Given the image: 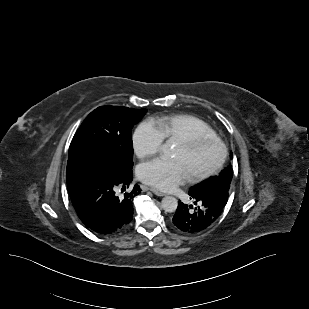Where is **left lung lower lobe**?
Segmentation results:
<instances>
[{
    "label": "left lung lower lobe",
    "instance_id": "obj_1",
    "mask_svg": "<svg viewBox=\"0 0 309 309\" xmlns=\"http://www.w3.org/2000/svg\"><path fill=\"white\" fill-rule=\"evenodd\" d=\"M195 206L178 202L172 219L176 229L186 234H197L211 227L220 217L227 198L207 195L191 188L188 192Z\"/></svg>",
    "mask_w": 309,
    "mask_h": 309
}]
</instances>
